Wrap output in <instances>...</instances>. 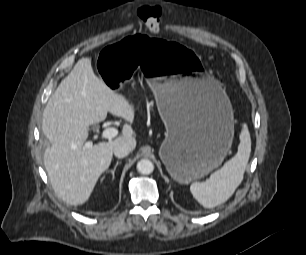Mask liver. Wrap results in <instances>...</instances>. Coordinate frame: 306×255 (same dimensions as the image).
<instances>
[{"label":"liver","instance_id":"liver-1","mask_svg":"<svg viewBox=\"0 0 306 255\" xmlns=\"http://www.w3.org/2000/svg\"><path fill=\"white\" fill-rule=\"evenodd\" d=\"M108 112L134 122L133 105L95 75L90 58H81L52 94L42 116V131L50 142L44 165L54 192L67 204L88 201L118 143L136 146L131 125L124 124L113 141L85 148L89 127L104 121Z\"/></svg>","mask_w":306,"mask_h":255}]
</instances>
